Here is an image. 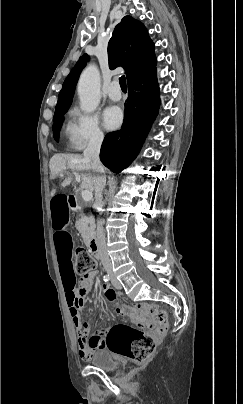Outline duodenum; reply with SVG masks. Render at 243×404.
I'll list each match as a JSON object with an SVG mask.
<instances>
[{"label":"duodenum","instance_id":"1","mask_svg":"<svg viewBox=\"0 0 243 404\" xmlns=\"http://www.w3.org/2000/svg\"><path fill=\"white\" fill-rule=\"evenodd\" d=\"M68 200H69L70 208L72 210H76L78 208V202H77L76 197L72 194H69ZM89 250H90L91 254L94 256V258H96V259L101 258V252H100L99 245L96 240L93 239L89 242Z\"/></svg>","mask_w":243,"mask_h":404}]
</instances>
